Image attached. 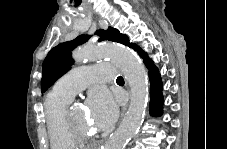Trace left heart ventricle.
Listing matches in <instances>:
<instances>
[{
  "label": "left heart ventricle",
  "mask_w": 227,
  "mask_h": 149,
  "mask_svg": "<svg viewBox=\"0 0 227 149\" xmlns=\"http://www.w3.org/2000/svg\"><path fill=\"white\" fill-rule=\"evenodd\" d=\"M72 116L76 124L84 131L90 132L92 125L88 123V118L85 111L81 108H75L72 110Z\"/></svg>",
  "instance_id": "1"
}]
</instances>
